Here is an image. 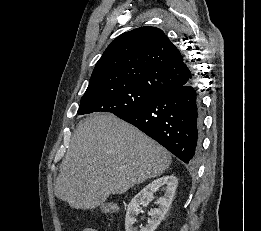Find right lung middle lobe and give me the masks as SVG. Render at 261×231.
Segmentation results:
<instances>
[{
  "label": "right lung middle lobe",
  "instance_id": "dd1d6c3e",
  "mask_svg": "<svg viewBox=\"0 0 261 231\" xmlns=\"http://www.w3.org/2000/svg\"><path fill=\"white\" fill-rule=\"evenodd\" d=\"M156 97L158 96L135 86L85 93L81 98L78 114L102 111L120 116L145 106Z\"/></svg>",
  "mask_w": 261,
  "mask_h": 231
}]
</instances>
